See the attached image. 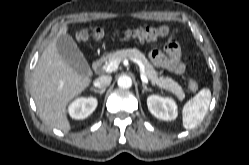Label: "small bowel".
I'll use <instances>...</instances> for the list:
<instances>
[{
	"label": "small bowel",
	"mask_w": 249,
	"mask_h": 165,
	"mask_svg": "<svg viewBox=\"0 0 249 165\" xmlns=\"http://www.w3.org/2000/svg\"><path fill=\"white\" fill-rule=\"evenodd\" d=\"M151 61L159 68H163L175 74H182L185 70V62L180 44L171 35L165 45V53L152 50L149 54Z\"/></svg>",
	"instance_id": "small-bowel-1"
}]
</instances>
